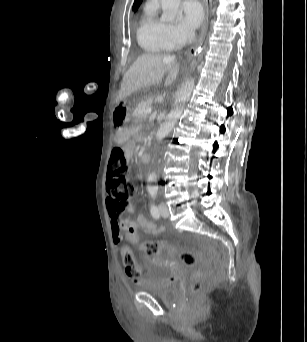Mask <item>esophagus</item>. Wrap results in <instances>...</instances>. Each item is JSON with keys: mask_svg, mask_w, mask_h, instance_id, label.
Here are the masks:
<instances>
[{"mask_svg": "<svg viewBox=\"0 0 307 342\" xmlns=\"http://www.w3.org/2000/svg\"><path fill=\"white\" fill-rule=\"evenodd\" d=\"M203 6H204V14H205V18L202 24V32L200 33L199 39H198V43L197 46L195 47L198 48V46L204 45V39H205V29L208 25V0H203ZM194 51V50H191ZM190 51V52H191Z\"/></svg>", "mask_w": 307, "mask_h": 342, "instance_id": "1", "label": "esophagus"}]
</instances>
